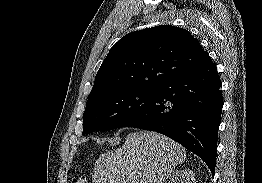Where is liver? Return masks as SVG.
<instances>
[{
	"label": "liver",
	"instance_id": "liver-1",
	"mask_svg": "<svg viewBox=\"0 0 262 183\" xmlns=\"http://www.w3.org/2000/svg\"><path fill=\"white\" fill-rule=\"evenodd\" d=\"M186 150L174 140L152 131L129 133L122 148L96 161L93 183H165Z\"/></svg>",
	"mask_w": 262,
	"mask_h": 183
}]
</instances>
